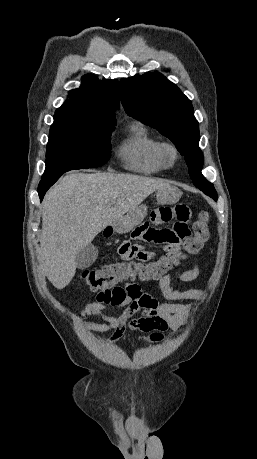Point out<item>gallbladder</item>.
Segmentation results:
<instances>
[{
	"instance_id": "1",
	"label": "gallbladder",
	"mask_w": 257,
	"mask_h": 459,
	"mask_svg": "<svg viewBox=\"0 0 257 459\" xmlns=\"http://www.w3.org/2000/svg\"><path fill=\"white\" fill-rule=\"evenodd\" d=\"M98 256V250L93 244L87 245L76 255V266L79 269H85L92 265Z\"/></svg>"
}]
</instances>
